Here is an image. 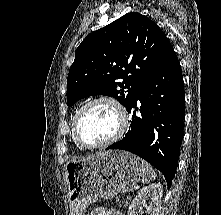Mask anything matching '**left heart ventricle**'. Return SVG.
Segmentation results:
<instances>
[{"instance_id":"1","label":"left heart ventricle","mask_w":221,"mask_h":215,"mask_svg":"<svg viewBox=\"0 0 221 215\" xmlns=\"http://www.w3.org/2000/svg\"><path fill=\"white\" fill-rule=\"evenodd\" d=\"M119 127L116 109L107 102L89 106L79 122V133L88 143H100L112 137Z\"/></svg>"}]
</instances>
